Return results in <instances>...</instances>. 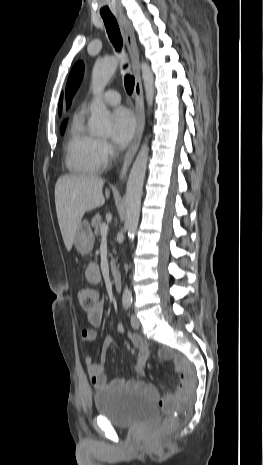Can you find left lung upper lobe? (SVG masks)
<instances>
[{
	"instance_id": "1",
	"label": "left lung upper lobe",
	"mask_w": 263,
	"mask_h": 465,
	"mask_svg": "<svg viewBox=\"0 0 263 465\" xmlns=\"http://www.w3.org/2000/svg\"><path fill=\"white\" fill-rule=\"evenodd\" d=\"M83 72H84V65H83V62L81 61L77 62L70 72L67 86H66V100H67L68 107L70 106L72 102L73 95L75 94V92L77 91L81 83Z\"/></svg>"
}]
</instances>
